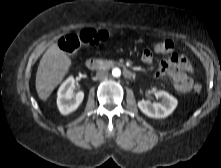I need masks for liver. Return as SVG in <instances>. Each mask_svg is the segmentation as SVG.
<instances>
[{
	"mask_svg": "<svg viewBox=\"0 0 221 168\" xmlns=\"http://www.w3.org/2000/svg\"><path fill=\"white\" fill-rule=\"evenodd\" d=\"M72 65L66 52L52 44L42 56L36 73V91L46 101L55 87L61 83Z\"/></svg>",
	"mask_w": 221,
	"mask_h": 168,
	"instance_id": "1",
	"label": "liver"
}]
</instances>
